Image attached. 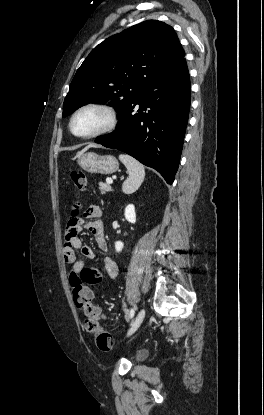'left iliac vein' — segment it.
I'll return each instance as SVG.
<instances>
[{
    "label": "left iliac vein",
    "instance_id": "obj_1",
    "mask_svg": "<svg viewBox=\"0 0 264 415\" xmlns=\"http://www.w3.org/2000/svg\"><path fill=\"white\" fill-rule=\"evenodd\" d=\"M145 314H146V310L144 308L141 309L138 312L137 316L135 317L134 321L132 322V325H131L128 333H127V336L132 335L139 328V326L141 325V323H142V321L145 317Z\"/></svg>",
    "mask_w": 264,
    "mask_h": 415
}]
</instances>
